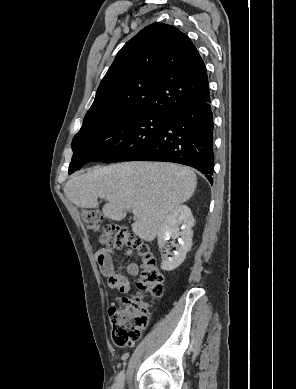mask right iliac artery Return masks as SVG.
Wrapping results in <instances>:
<instances>
[{
    "label": "right iliac artery",
    "instance_id": "82829eb1",
    "mask_svg": "<svg viewBox=\"0 0 296 389\" xmlns=\"http://www.w3.org/2000/svg\"><path fill=\"white\" fill-rule=\"evenodd\" d=\"M124 380H125V374H124V371H121L117 376L115 388L116 389H123Z\"/></svg>",
    "mask_w": 296,
    "mask_h": 389
}]
</instances>
